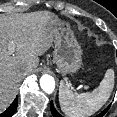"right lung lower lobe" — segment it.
<instances>
[{
	"label": "right lung lower lobe",
	"mask_w": 117,
	"mask_h": 117,
	"mask_svg": "<svg viewBox=\"0 0 117 117\" xmlns=\"http://www.w3.org/2000/svg\"><path fill=\"white\" fill-rule=\"evenodd\" d=\"M17 105H18V99L16 97L13 103L7 108V110L2 114H0V117H11L14 114Z\"/></svg>",
	"instance_id": "98d812e1"
}]
</instances>
